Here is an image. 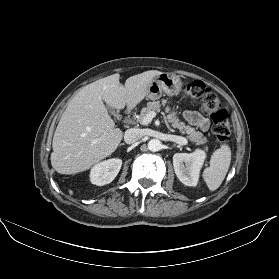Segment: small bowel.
Returning a JSON list of instances; mask_svg holds the SVG:
<instances>
[{"label":"small bowel","mask_w":279,"mask_h":279,"mask_svg":"<svg viewBox=\"0 0 279 279\" xmlns=\"http://www.w3.org/2000/svg\"><path fill=\"white\" fill-rule=\"evenodd\" d=\"M184 117L190 124L199 127L204 132L210 127L209 120L196 111L187 110L184 112Z\"/></svg>","instance_id":"1"}]
</instances>
